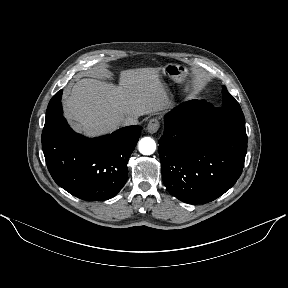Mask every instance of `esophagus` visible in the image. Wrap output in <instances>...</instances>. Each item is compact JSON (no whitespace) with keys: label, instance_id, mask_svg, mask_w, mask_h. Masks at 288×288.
<instances>
[{"label":"esophagus","instance_id":"obj_1","mask_svg":"<svg viewBox=\"0 0 288 288\" xmlns=\"http://www.w3.org/2000/svg\"><path fill=\"white\" fill-rule=\"evenodd\" d=\"M159 128H160V121L156 118L151 119L147 125V131L150 134L156 133L159 130Z\"/></svg>","mask_w":288,"mask_h":288}]
</instances>
